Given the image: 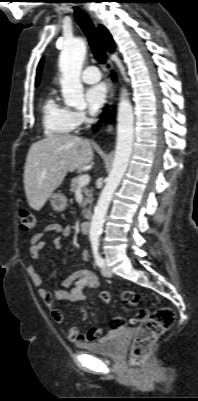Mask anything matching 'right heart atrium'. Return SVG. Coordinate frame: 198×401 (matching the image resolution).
<instances>
[{
  "mask_svg": "<svg viewBox=\"0 0 198 401\" xmlns=\"http://www.w3.org/2000/svg\"><path fill=\"white\" fill-rule=\"evenodd\" d=\"M72 114H73V119H74V123H75L76 127L81 126L87 120V114L85 111L76 110V111H73Z\"/></svg>",
  "mask_w": 198,
  "mask_h": 401,
  "instance_id": "obj_1",
  "label": "right heart atrium"
}]
</instances>
